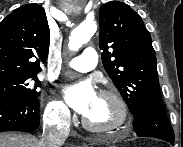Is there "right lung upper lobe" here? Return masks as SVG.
<instances>
[{
	"label": "right lung upper lobe",
	"instance_id": "right-lung-upper-lobe-1",
	"mask_svg": "<svg viewBox=\"0 0 183 147\" xmlns=\"http://www.w3.org/2000/svg\"><path fill=\"white\" fill-rule=\"evenodd\" d=\"M49 40L45 10L39 4L23 5L5 17L0 23V79L40 72Z\"/></svg>",
	"mask_w": 183,
	"mask_h": 147
}]
</instances>
